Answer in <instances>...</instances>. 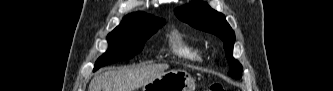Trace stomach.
<instances>
[{"label": "stomach", "mask_w": 333, "mask_h": 91, "mask_svg": "<svg viewBox=\"0 0 333 91\" xmlns=\"http://www.w3.org/2000/svg\"><path fill=\"white\" fill-rule=\"evenodd\" d=\"M142 91H195V82L182 69H172L142 87Z\"/></svg>", "instance_id": "0dacf381"}]
</instances>
